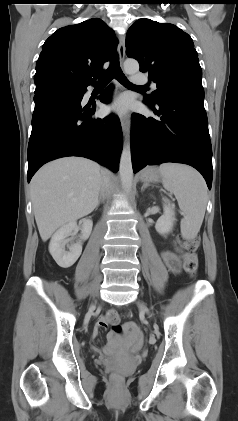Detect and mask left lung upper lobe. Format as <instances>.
<instances>
[{
  "label": "left lung upper lobe",
  "instance_id": "left-lung-upper-lobe-1",
  "mask_svg": "<svg viewBox=\"0 0 238 421\" xmlns=\"http://www.w3.org/2000/svg\"><path fill=\"white\" fill-rule=\"evenodd\" d=\"M126 54L140 64V71H149L157 89L145 100L169 89L189 83H200L202 70L191 37L173 24L147 18L137 20L126 35Z\"/></svg>",
  "mask_w": 238,
  "mask_h": 421
}]
</instances>
